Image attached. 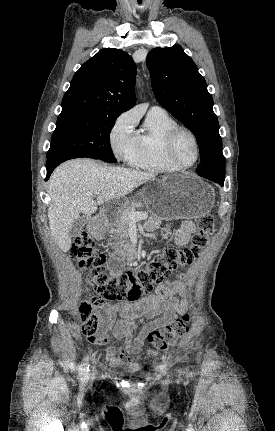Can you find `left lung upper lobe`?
Masks as SVG:
<instances>
[{"label":"left lung upper lobe","mask_w":275,"mask_h":431,"mask_svg":"<svg viewBox=\"0 0 275 431\" xmlns=\"http://www.w3.org/2000/svg\"><path fill=\"white\" fill-rule=\"evenodd\" d=\"M157 101L195 135L201 156L200 176H224L222 140L213 98L193 60L181 46L155 48L147 55Z\"/></svg>","instance_id":"5c2ea615"}]
</instances>
